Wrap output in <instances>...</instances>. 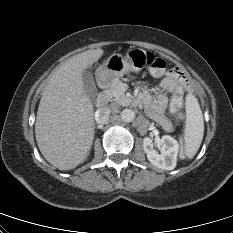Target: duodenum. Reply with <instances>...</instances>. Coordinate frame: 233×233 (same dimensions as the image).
Wrapping results in <instances>:
<instances>
[{
    "mask_svg": "<svg viewBox=\"0 0 233 233\" xmlns=\"http://www.w3.org/2000/svg\"><path fill=\"white\" fill-rule=\"evenodd\" d=\"M99 85H100L102 90L97 96L96 106L98 108H103V107H105L107 105L108 99H109L108 94L106 92V88L108 87L109 82L105 77H103V78L100 79Z\"/></svg>",
    "mask_w": 233,
    "mask_h": 233,
    "instance_id": "1",
    "label": "duodenum"
}]
</instances>
